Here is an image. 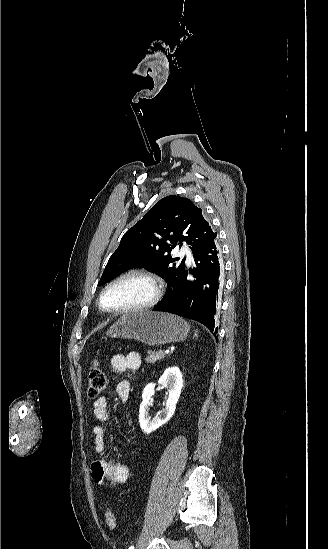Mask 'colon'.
Here are the masks:
<instances>
[{"label":"colon","mask_w":328,"mask_h":549,"mask_svg":"<svg viewBox=\"0 0 328 549\" xmlns=\"http://www.w3.org/2000/svg\"><path fill=\"white\" fill-rule=\"evenodd\" d=\"M106 387V376L101 369L98 361H94L88 374L87 395L91 399H96ZM105 522L110 529L117 525L116 515L113 508L108 507L105 512Z\"/></svg>","instance_id":"5ec220e1"}]
</instances>
